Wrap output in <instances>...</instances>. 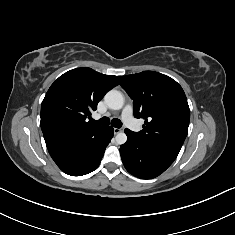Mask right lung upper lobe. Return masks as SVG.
<instances>
[{"instance_id":"obj_1","label":"right lung upper lobe","mask_w":235,"mask_h":235,"mask_svg":"<svg viewBox=\"0 0 235 235\" xmlns=\"http://www.w3.org/2000/svg\"><path fill=\"white\" fill-rule=\"evenodd\" d=\"M118 84L116 76L91 68H76L61 75L41 104V129L48 150L103 129L87 119L106 92Z\"/></svg>"}]
</instances>
